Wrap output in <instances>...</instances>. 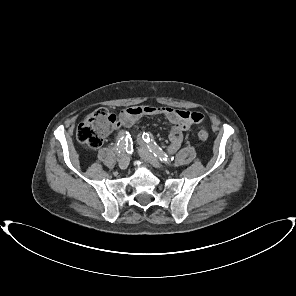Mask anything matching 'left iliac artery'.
Wrapping results in <instances>:
<instances>
[{
	"mask_svg": "<svg viewBox=\"0 0 296 296\" xmlns=\"http://www.w3.org/2000/svg\"><path fill=\"white\" fill-rule=\"evenodd\" d=\"M140 142H145L149 151L152 152L156 157H158L161 161L165 163H170V161L167 160L168 155L162 151V149L157 146L156 142L153 141V139L150 137L148 133H143L141 136H139Z\"/></svg>",
	"mask_w": 296,
	"mask_h": 296,
	"instance_id": "1",
	"label": "left iliac artery"
}]
</instances>
